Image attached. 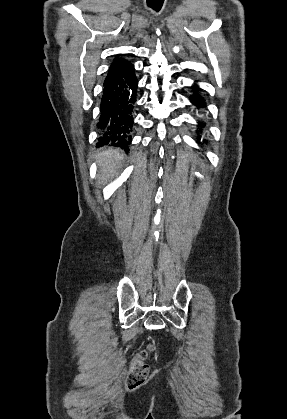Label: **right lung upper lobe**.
Listing matches in <instances>:
<instances>
[{"instance_id": "right-lung-upper-lobe-1", "label": "right lung upper lobe", "mask_w": 287, "mask_h": 419, "mask_svg": "<svg viewBox=\"0 0 287 419\" xmlns=\"http://www.w3.org/2000/svg\"><path fill=\"white\" fill-rule=\"evenodd\" d=\"M132 68V64L124 59L116 57L108 70L105 80L110 79L116 75L122 74Z\"/></svg>"}]
</instances>
